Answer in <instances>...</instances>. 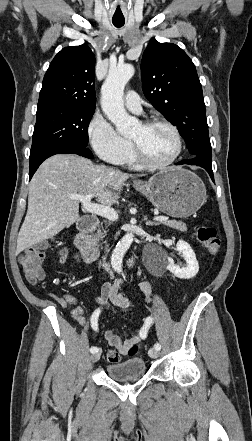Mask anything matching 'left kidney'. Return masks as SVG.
<instances>
[{
    "instance_id": "left-kidney-1",
    "label": "left kidney",
    "mask_w": 252,
    "mask_h": 441,
    "mask_svg": "<svg viewBox=\"0 0 252 441\" xmlns=\"http://www.w3.org/2000/svg\"><path fill=\"white\" fill-rule=\"evenodd\" d=\"M176 248L180 253H182V256L186 261L187 266L180 268L179 266L174 264L172 258H168L167 270H169L172 274L180 279L193 278L199 271V264L194 251L192 250L190 245L183 240H179L177 242Z\"/></svg>"
}]
</instances>
